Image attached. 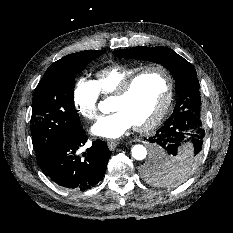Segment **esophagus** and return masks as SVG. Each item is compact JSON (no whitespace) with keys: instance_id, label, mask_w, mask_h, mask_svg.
<instances>
[{"instance_id":"esophagus-1","label":"esophagus","mask_w":233,"mask_h":233,"mask_svg":"<svg viewBox=\"0 0 233 233\" xmlns=\"http://www.w3.org/2000/svg\"><path fill=\"white\" fill-rule=\"evenodd\" d=\"M118 144H119L118 141H116V140H110L108 142V147H109L110 150H114L117 147Z\"/></svg>"}]
</instances>
